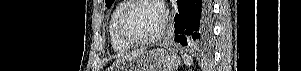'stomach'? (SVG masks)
<instances>
[{"instance_id":"stomach-1","label":"stomach","mask_w":301,"mask_h":71,"mask_svg":"<svg viewBox=\"0 0 301 71\" xmlns=\"http://www.w3.org/2000/svg\"><path fill=\"white\" fill-rule=\"evenodd\" d=\"M180 58L169 49L144 50L114 64L110 71H176Z\"/></svg>"}]
</instances>
